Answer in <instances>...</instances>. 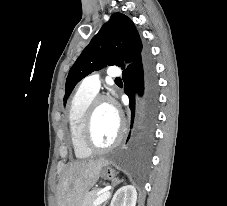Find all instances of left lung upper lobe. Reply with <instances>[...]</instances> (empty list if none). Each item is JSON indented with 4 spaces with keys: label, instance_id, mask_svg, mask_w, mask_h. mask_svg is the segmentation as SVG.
I'll list each match as a JSON object with an SVG mask.
<instances>
[{
    "label": "left lung upper lobe",
    "instance_id": "left-lung-upper-lobe-1",
    "mask_svg": "<svg viewBox=\"0 0 227 206\" xmlns=\"http://www.w3.org/2000/svg\"><path fill=\"white\" fill-rule=\"evenodd\" d=\"M144 51L131 19L121 13L112 14L70 69L64 105L75 85L84 77L106 65H117L123 69L124 60L130 63L129 68Z\"/></svg>",
    "mask_w": 227,
    "mask_h": 206
}]
</instances>
